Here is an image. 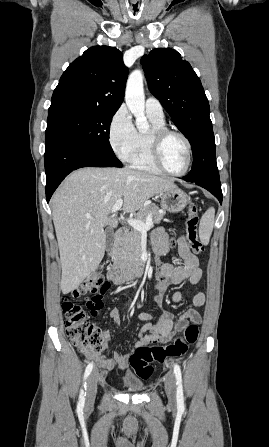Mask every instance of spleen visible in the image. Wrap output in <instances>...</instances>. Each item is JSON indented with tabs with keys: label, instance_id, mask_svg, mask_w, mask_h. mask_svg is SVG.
Instances as JSON below:
<instances>
[{
	"label": "spleen",
	"instance_id": "3e777b00",
	"mask_svg": "<svg viewBox=\"0 0 269 447\" xmlns=\"http://www.w3.org/2000/svg\"><path fill=\"white\" fill-rule=\"evenodd\" d=\"M215 210L214 208H209L202 216L199 224V237L203 245H207L210 241L211 233L214 227Z\"/></svg>",
	"mask_w": 269,
	"mask_h": 447
}]
</instances>
